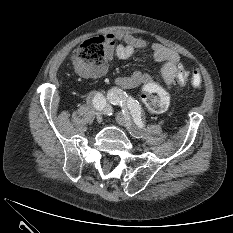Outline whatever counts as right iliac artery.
Returning a JSON list of instances; mask_svg holds the SVG:
<instances>
[{"instance_id": "right-iliac-artery-1", "label": "right iliac artery", "mask_w": 233, "mask_h": 233, "mask_svg": "<svg viewBox=\"0 0 233 233\" xmlns=\"http://www.w3.org/2000/svg\"><path fill=\"white\" fill-rule=\"evenodd\" d=\"M87 102L91 104L95 109L103 111L105 114H112L105 97L99 92H91L87 97Z\"/></svg>"}]
</instances>
